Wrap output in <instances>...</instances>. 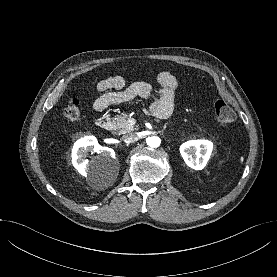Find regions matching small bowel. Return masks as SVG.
<instances>
[{
    "instance_id": "1",
    "label": "small bowel",
    "mask_w": 277,
    "mask_h": 277,
    "mask_svg": "<svg viewBox=\"0 0 277 277\" xmlns=\"http://www.w3.org/2000/svg\"><path fill=\"white\" fill-rule=\"evenodd\" d=\"M162 89L156 92L147 82L127 84L122 76H113L98 82L96 89L100 96L94 101L93 109L103 111L110 105L130 101L136 97L150 101L149 113L154 117L168 118L174 105V97L178 87L176 78L169 72H160L157 76Z\"/></svg>"
}]
</instances>
